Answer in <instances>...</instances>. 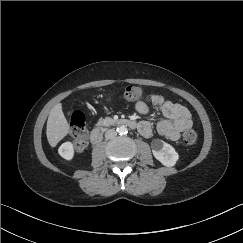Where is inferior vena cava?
Masks as SVG:
<instances>
[{
	"label": "inferior vena cava",
	"mask_w": 243,
	"mask_h": 243,
	"mask_svg": "<svg viewBox=\"0 0 243 243\" xmlns=\"http://www.w3.org/2000/svg\"><path fill=\"white\" fill-rule=\"evenodd\" d=\"M117 135V132L114 129H109L105 133V138L106 139H112Z\"/></svg>",
	"instance_id": "602c4592"
}]
</instances>
